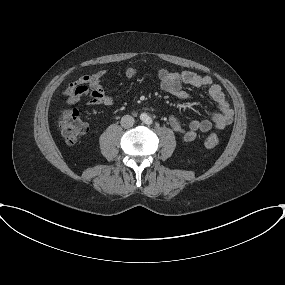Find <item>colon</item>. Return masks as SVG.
I'll list each match as a JSON object with an SVG mask.
<instances>
[{
	"instance_id": "colon-1",
	"label": "colon",
	"mask_w": 285,
	"mask_h": 285,
	"mask_svg": "<svg viewBox=\"0 0 285 285\" xmlns=\"http://www.w3.org/2000/svg\"><path fill=\"white\" fill-rule=\"evenodd\" d=\"M58 124L65 142L69 145L77 143L88 132V125L75 109L64 110L59 116ZM219 143L220 139L215 133H211L205 138V145L209 148H214Z\"/></svg>"
}]
</instances>
